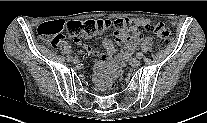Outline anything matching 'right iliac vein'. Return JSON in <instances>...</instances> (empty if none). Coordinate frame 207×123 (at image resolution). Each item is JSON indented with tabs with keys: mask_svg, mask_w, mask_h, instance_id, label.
I'll return each instance as SVG.
<instances>
[{
	"mask_svg": "<svg viewBox=\"0 0 207 123\" xmlns=\"http://www.w3.org/2000/svg\"><path fill=\"white\" fill-rule=\"evenodd\" d=\"M71 62H73L74 64H77L79 61H78L77 58H73V59L71 60Z\"/></svg>",
	"mask_w": 207,
	"mask_h": 123,
	"instance_id": "right-iliac-vein-1",
	"label": "right iliac vein"
}]
</instances>
